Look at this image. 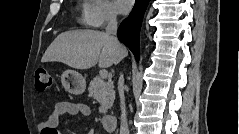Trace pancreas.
I'll return each instance as SVG.
<instances>
[{
    "mask_svg": "<svg viewBox=\"0 0 239 134\" xmlns=\"http://www.w3.org/2000/svg\"><path fill=\"white\" fill-rule=\"evenodd\" d=\"M88 91L89 95L99 102L100 113L104 114L112 107L115 99L112 81H103L99 77H96L90 82Z\"/></svg>",
    "mask_w": 239,
    "mask_h": 134,
    "instance_id": "1",
    "label": "pancreas"
}]
</instances>
